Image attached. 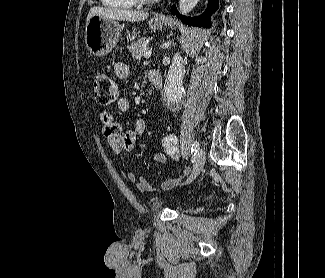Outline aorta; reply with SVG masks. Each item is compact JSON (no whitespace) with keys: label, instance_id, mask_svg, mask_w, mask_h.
I'll return each instance as SVG.
<instances>
[{"label":"aorta","instance_id":"aorta-1","mask_svg":"<svg viewBox=\"0 0 325 278\" xmlns=\"http://www.w3.org/2000/svg\"><path fill=\"white\" fill-rule=\"evenodd\" d=\"M199 2V0H179V10L183 14L189 13ZM185 67L179 52L172 58L168 76L164 85V93L168 104L176 106L183 96V76Z\"/></svg>","mask_w":325,"mask_h":278}]
</instances>
